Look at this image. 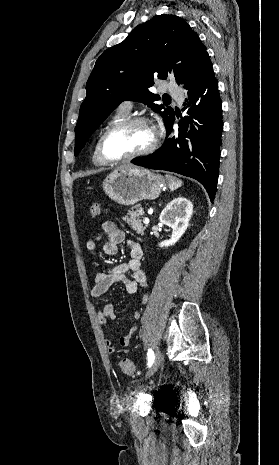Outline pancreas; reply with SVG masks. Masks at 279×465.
Listing matches in <instances>:
<instances>
[{"instance_id":"cf45deb5","label":"pancreas","mask_w":279,"mask_h":465,"mask_svg":"<svg viewBox=\"0 0 279 465\" xmlns=\"http://www.w3.org/2000/svg\"><path fill=\"white\" fill-rule=\"evenodd\" d=\"M143 211L136 210L133 212H129L128 216L123 217V220L128 223L132 230L136 231L137 234H144L147 225H143L141 216L143 215Z\"/></svg>"}]
</instances>
